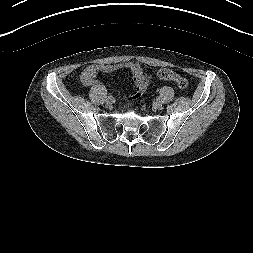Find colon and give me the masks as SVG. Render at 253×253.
<instances>
[{
	"label": "colon",
	"instance_id": "1",
	"mask_svg": "<svg viewBox=\"0 0 253 253\" xmlns=\"http://www.w3.org/2000/svg\"><path fill=\"white\" fill-rule=\"evenodd\" d=\"M157 75L159 78L163 80L174 81L181 89H185L188 86V80L185 77L176 74L170 69H160L157 72ZM134 82H135V89L127 96L128 101L130 102H133L139 97H141L144 94L147 87V82L143 78H137L134 80Z\"/></svg>",
	"mask_w": 253,
	"mask_h": 253
}]
</instances>
